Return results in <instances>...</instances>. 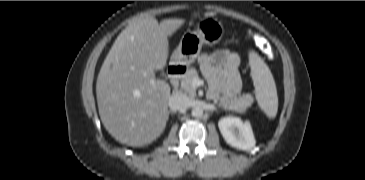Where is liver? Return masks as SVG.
I'll use <instances>...</instances> for the list:
<instances>
[{"label":"liver","mask_w":365,"mask_h":180,"mask_svg":"<svg viewBox=\"0 0 365 180\" xmlns=\"http://www.w3.org/2000/svg\"><path fill=\"white\" fill-rule=\"evenodd\" d=\"M184 20L133 19L119 34L98 74L100 119L117 141L140 147L156 140L169 118L170 87L156 79L166 66L168 38Z\"/></svg>","instance_id":"obj_1"}]
</instances>
